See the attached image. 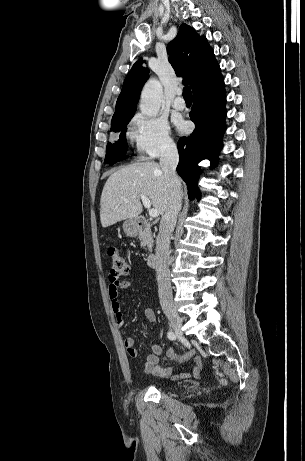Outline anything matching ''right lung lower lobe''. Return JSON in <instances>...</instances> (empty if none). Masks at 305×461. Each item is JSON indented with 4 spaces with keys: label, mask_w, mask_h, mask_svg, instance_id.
<instances>
[{
    "label": "right lung lower lobe",
    "mask_w": 305,
    "mask_h": 461,
    "mask_svg": "<svg viewBox=\"0 0 305 461\" xmlns=\"http://www.w3.org/2000/svg\"><path fill=\"white\" fill-rule=\"evenodd\" d=\"M193 95L190 119L196 128L189 137L180 138V160L177 166L178 174L187 185L190 199H193L194 195H199L197 180L201 170L198 163L203 159H209L211 166H215L222 147L226 95L221 73L195 89Z\"/></svg>",
    "instance_id": "right-lung-lower-lobe-1"
}]
</instances>
